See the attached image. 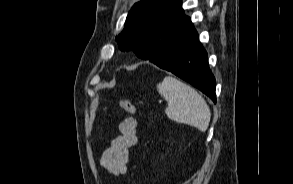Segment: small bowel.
<instances>
[{
    "label": "small bowel",
    "mask_w": 293,
    "mask_h": 184,
    "mask_svg": "<svg viewBox=\"0 0 293 184\" xmlns=\"http://www.w3.org/2000/svg\"><path fill=\"white\" fill-rule=\"evenodd\" d=\"M137 141L136 119L133 117L123 119L119 123V134L111 140L101 156V167L116 176L126 173L132 148Z\"/></svg>",
    "instance_id": "1"
}]
</instances>
